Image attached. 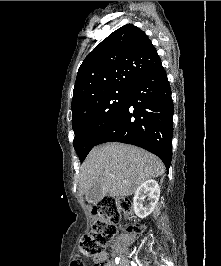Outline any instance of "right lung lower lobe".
Here are the masks:
<instances>
[{"label":"right lung lower lobe","mask_w":221,"mask_h":266,"mask_svg":"<svg viewBox=\"0 0 221 266\" xmlns=\"http://www.w3.org/2000/svg\"><path fill=\"white\" fill-rule=\"evenodd\" d=\"M173 102L166 72L160 64L130 87L127 102L102 132L96 145L122 142L157 155L168 170L172 159Z\"/></svg>","instance_id":"obj_1"}]
</instances>
